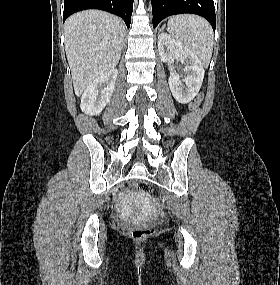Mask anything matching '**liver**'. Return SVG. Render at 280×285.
<instances>
[{"instance_id":"6515ba94","label":"liver","mask_w":280,"mask_h":285,"mask_svg":"<svg viewBox=\"0 0 280 285\" xmlns=\"http://www.w3.org/2000/svg\"><path fill=\"white\" fill-rule=\"evenodd\" d=\"M64 34L74 91L80 96L90 83L118 64L125 25L109 13L87 10L66 20Z\"/></svg>"}]
</instances>
